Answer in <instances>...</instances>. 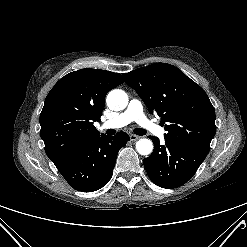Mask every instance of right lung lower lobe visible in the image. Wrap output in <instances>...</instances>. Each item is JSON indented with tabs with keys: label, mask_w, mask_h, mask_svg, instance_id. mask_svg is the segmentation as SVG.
<instances>
[{
	"label": "right lung lower lobe",
	"mask_w": 247,
	"mask_h": 247,
	"mask_svg": "<svg viewBox=\"0 0 247 247\" xmlns=\"http://www.w3.org/2000/svg\"><path fill=\"white\" fill-rule=\"evenodd\" d=\"M129 136L119 132L115 136L102 134L84 144L59 168L68 184L82 192H92L105 186L112 177L116 157Z\"/></svg>",
	"instance_id": "98d812e1"
}]
</instances>
